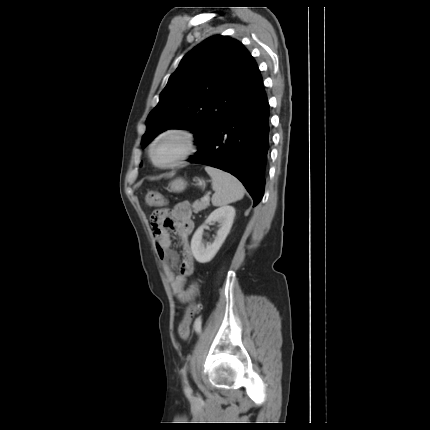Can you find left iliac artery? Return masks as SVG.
<instances>
[{
    "label": "left iliac artery",
    "instance_id": "44dca946",
    "mask_svg": "<svg viewBox=\"0 0 430 430\" xmlns=\"http://www.w3.org/2000/svg\"><path fill=\"white\" fill-rule=\"evenodd\" d=\"M198 320H201V317H198ZM194 330H195L196 334H202L203 333V327H202V322L201 321H196L195 322ZM181 374H182V376L184 378V381L186 382V379H187L186 378V374H187V367L186 366H184L181 369Z\"/></svg>",
    "mask_w": 430,
    "mask_h": 430
}]
</instances>
